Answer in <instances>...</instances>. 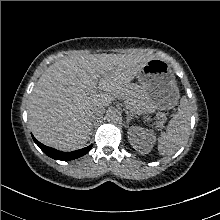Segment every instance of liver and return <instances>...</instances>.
<instances>
[{
  "mask_svg": "<svg viewBox=\"0 0 220 220\" xmlns=\"http://www.w3.org/2000/svg\"><path fill=\"white\" fill-rule=\"evenodd\" d=\"M153 58L103 53L71 55L56 61L43 72L30 95L32 133L41 143L61 151L82 148L92 130L90 112L107 107L126 92Z\"/></svg>",
  "mask_w": 220,
  "mask_h": 220,
  "instance_id": "liver-1",
  "label": "liver"
}]
</instances>
